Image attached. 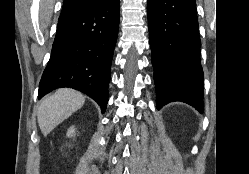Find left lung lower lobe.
<instances>
[{"instance_id":"1","label":"left lung lower lobe","mask_w":249,"mask_h":174,"mask_svg":"<svg viewBox=\"0 0 249 174\" xmlns=\"http://www.w3.org/2000/svg\"><path fill=\"white\" fill-rule=\"evenodd\" d=\"M157 108L172 101L203 112V69L195 0H148Z\"/></svg>"}]
</instances>
